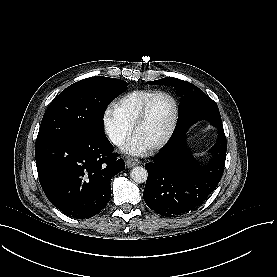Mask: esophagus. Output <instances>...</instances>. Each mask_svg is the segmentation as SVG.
I'll use <instances>...</instances> for the list:
<instances>
[{
    "mask_svg": "<svg viewBox=\"0 0 277 277\" xmlns=\"http://www.w3.org/2000/svg\"><path fill=\"white\" fill-rule=\"evenodd\" d=\"M140 163V161L138 160V159H128L127 161H126V166L128 167V168H131V167H133V166H135V165H138Z\"/></svg>",
    "mask_w": 277,
    "mask_h": 277,
    "instance_id": "esophagus-1",
    "label": "esophagus"
}]
</instances>
